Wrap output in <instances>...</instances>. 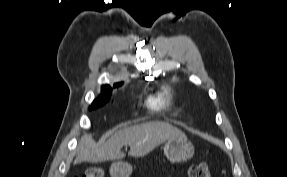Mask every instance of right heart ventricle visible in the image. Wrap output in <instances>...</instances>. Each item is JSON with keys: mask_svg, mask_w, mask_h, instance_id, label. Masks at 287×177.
Returning <instances> with one entry per match:
<instances>
[{"mask_svg": "<svg viewBox=\"0 0 287 177\" xmlns=\"http://www.w3.org/2000/svg\"><path fill=\"white\" fill-rule=\"evenodd\" d=\"M147 106L153 111H162L177 115L179 111V95L173 85L164 86L147 100Z\"/></svg>", "mask_w": 287, "mask_h": 177, "instance_id": "1", "label": "right heart ventricle"}]
</instances>
